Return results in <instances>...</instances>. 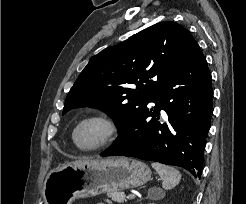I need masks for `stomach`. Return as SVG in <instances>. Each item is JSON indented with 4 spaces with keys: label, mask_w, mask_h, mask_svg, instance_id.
I'll use <instances>...</instances> for the list:
<instances>
[{
    "label": "stomach",
    "mask_w": 246,
    "mask_h": 204,
    "mask_svg": "<svg viewBox=\"0 0 246 204\" xmlns=\"http://www.w3.org/2000/svg\"><path fill=\"white\" fill-rule=\"evenodd\" d=\"M150 179V168L135 159H86L49 171L42 197L45 204H71L78 198L139 187Z\"/></svg>",
    "instance_id": "1"
}]
</instances>
